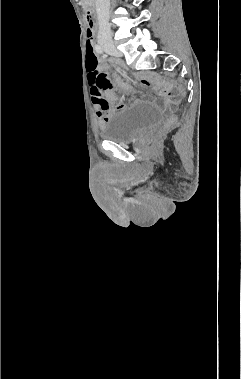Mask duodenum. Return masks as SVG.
Here are the masks:
<instances>
[{
    "mask_svg": "<svg viewBox=\"0 0 241 379\" xmlns=\"http://www.w3.org/2000/svg\"><path fill=\"white\" fill-rule=\"evenodd\" d=\"M93 0H89L88 3L85 5V14H86V19L88 22H92V8H93Z\"/></svg>",
    "mask_w": 241,
    "mask_h": 379,
    "instance_id": "1",
    "label": "duodenum"
}]
</instances>
